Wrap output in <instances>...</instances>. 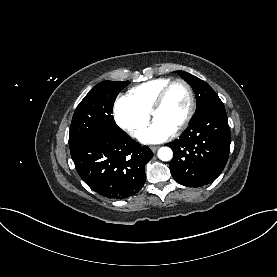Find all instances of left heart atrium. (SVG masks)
<instances>
[{"label":"left heart atrium","mask_w":277,"mask_h":277,"mask_svg":"<svg viewBox=\"0 0 277 277\" xmlns=\"http://www.w3.org/2000/svg\"><path fill=\"white\" fill-rule=\"evenodd\" d=\"M175 132V128L161 120H155L147 129L139 134L141 142L146 144L160 143L168 139Z\"/></svg>","instance_id":"obj_1"}]
</instances>
